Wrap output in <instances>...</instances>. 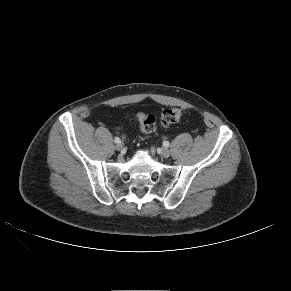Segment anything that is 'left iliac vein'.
I'll return each instance as SVG.
<instances>
[{
    "mask_svg": "<svg viewBox=\"0 0 291 291\" xmlns=\"http://www.w3.org/2000/svg\"><path fill=\"white\" fill-rule=\"evenodd\" d=\"M160 154H161L162 157L168 158L169 155H170V152H169V150L167 148H162L160 150Z\"/></svg>",
    "mask_w": 291,
    "mask_h": 291,
    "instance_id": "left-iliac-vein-1",
    "label": "left iliac vein"
}]
</instances>
